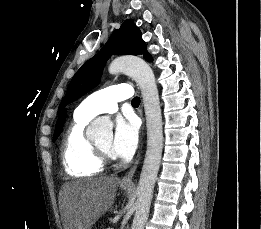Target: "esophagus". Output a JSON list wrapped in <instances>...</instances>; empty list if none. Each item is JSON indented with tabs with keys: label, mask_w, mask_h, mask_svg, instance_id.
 I'll use <instances>...</instances> for the list:
<instances>
[{
	"label": "esophagus",
	"mask_w": 261,
	"mask_h": 229,
	"mask_svg": "<svg viewBox=\"0 0 261 229\" xmlns=\"http://www.w3.org/2000/svg\"><path fill=\"white\" fill-rule=\"evenodd\" d=\"M140 115L142 116V112L140 113ZM139 155H140V152H139ZM139 155H138V158H137L135 164L131 167V169L123 177L122 185L134 186V183H133L132 179H133V176H134L135 171L137 169V165H138V162H139Z\"/></svg>",
	"instance_id": "1"
}]
</instances>
